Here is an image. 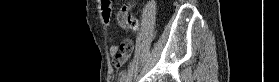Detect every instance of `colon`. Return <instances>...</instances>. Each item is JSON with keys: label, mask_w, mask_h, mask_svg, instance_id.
I'll return each mask as SVG.
<instances>
[{"label": "colon", "mask_w": 279, "mask_h": 82, "mask_svg": "<svg viewBox=\"0 0 279 82\" xmlns=\"http://www.w3.org/2000/svg\"><path fill=\"white\" fill-rule=\"evenodd\" d=\"M117 22L123 28H129L131 30H136L137 21L136 19L130 15L127 6L122 7L117 14ZM132 48L128 47L127 56L129 57L131 54Z\"/></svg>", "instance_id": "1"}]
</instances>
